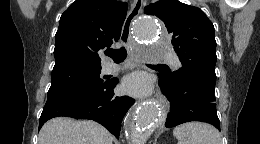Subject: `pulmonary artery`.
Listing matches in <instances>:
<instances>
[{"label": "pulmonary artery", "mask_w": 260, "mask_h": 144, "mask_svg": "<svg viewBox=\"0 0 260 144\" xmlns=\"http://www.w3.org/2000/svg\"><path fill=\"white\" fill-rule=\"evenodd\" d=\"M161 59H163V60L173 59V55H172V53L168 52V53H165L164 55H162ZM175 64L177 67H181V63L177 59L175 60ZM120 68H121L120 65L108 63L104 66V71L107 73H113V72L118 71Z\"/></svg>", "instance_id": "1"}]
</instances>
